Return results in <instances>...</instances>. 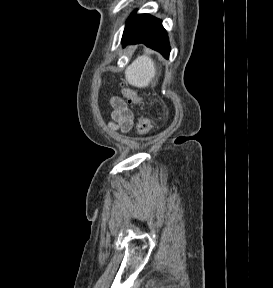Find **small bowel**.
Here are the masks:
<instances>
[{"label":"small bowel","instance_id":"c3829d8e","mask_svg":"<svg viewBox=\"0 0 273 288\" xmlns=\"http://www.w3.org/2000/svg\"><path fill=\"white\" fill-rule=\"evenodd\" d=\"M112 106V122L110 126L122 133L129 132L134 125V114L127 103L120 97H112L110 99Z\"/></svg>","mask_w":273,"mask_h":288}]
</instances>
